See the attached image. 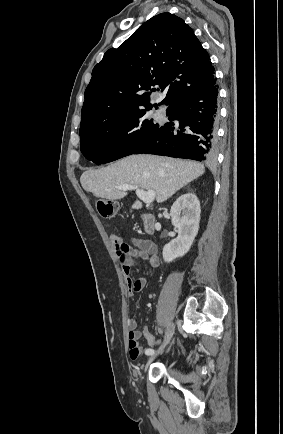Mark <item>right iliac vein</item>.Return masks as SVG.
<instances>
[{
  "label": "right iliac vein",
  "instance_id": "right-iliac-vein-1",
  "mask_svg": "<svg viewBox=\"0 0 283 434\" xmlns=\"http://www.w3.org/2000/svg\"><path fill=\"white\" fill-rule=\"evenodd\" d=\"M175 331V327L173 323H169L168 327H167V331L165 334V338L164 341L162 343V345L156 350L155 354L151 355L150 358L148 359L147 364L145 365L144 369L146 370L149 362H151L157 355L162 354L165 347L169 344V342L171 341L173 334Z\"/></svg>",
  "mask_w": 283,
  "mask_h": 434
}]
</instances>
